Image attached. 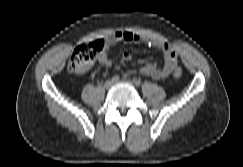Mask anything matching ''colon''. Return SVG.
Returning <instances> with one entry per match:
<instances>
[{
	"label": "colon",
	"instance_id": "1",
	"mask_svg": "<svg viewBox=\"0 0 243 167\" xmlns=\"http://www.w3.org/2000/svg\"><path fill=\"white\" fill-rule=\"evenodd\" d=\"M104 49V42L102 40H95L77 47L69 60L68 70L72 74H82L86 72L95 61L98 53ZM182 70L176 69L174 72L175 78H180Z\"/></svg>",
	"mask_w": 243,
	"mask_h": 167
}]
</instances>
